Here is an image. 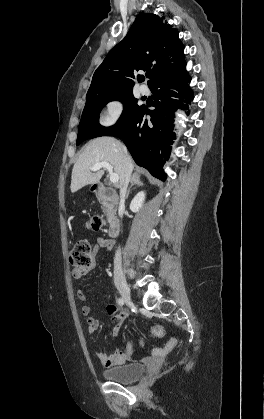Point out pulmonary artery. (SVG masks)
I'll return each instance as SVG.
<instances>
[{
  "instance_id": "pulmonary-artery-1",
  "label": "pulmonary artery",
  "mask_w": 264,
  "mask_h": 419,
  "mask_svg": "<svg viewBox=\"0 0 264 419\" xmlns=\"http://www.w3.org/2000/svg\"><path fill=\"white\" fill-rule=\"evenodd\" d=\"M140 92H141L142 94L146 95V94H148V93H149V89H148V87H147L146 85H141V86H140Z\"/></svg>"
}]
</instances>
